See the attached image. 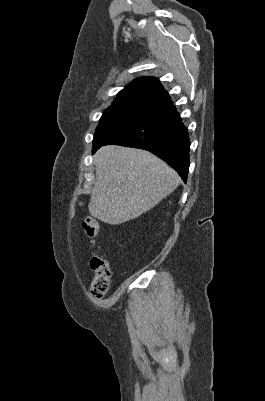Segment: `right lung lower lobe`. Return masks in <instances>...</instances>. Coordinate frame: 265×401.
Segmentation results:
<instances>
[{"label":"right lung lower lobe","instance_id":"1","mask_svg":"<svg viewBox=\"0 0 265 401\" xmlns=\"http://www.w3.org/2000/svg\"><path fill=\"white\" fill-rule=\"evenodd\" d=\"M189 140L180 114L170 104L94 146L93 153L108 144L148 150L175 169L186 183L190 165Z\"/></svg>","mask_w":265,"mask_h":401}]
</instances>
